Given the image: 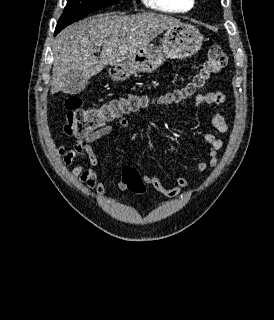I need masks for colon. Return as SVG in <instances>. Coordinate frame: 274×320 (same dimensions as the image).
<instances>
[{
  "instance_id": "5ec220e1",
  "label": "colon",
  "mask_w": 274,
  "mask_h": 320,
  "mask_svg": "<svg viewBox=\"0 0 274 320\" xmlns=\"http://www.w3.org/2000/svg\"><path fill=\"white\" fill-rule=\"evenodd\" d=\"M228 63V58L221 47L212 46L208 49L204 67L196 81L187 88L182 89L173 100L186 97L191 91L202 87L214 76L219 74ZM141 105L138 98L120 99L100 107L82 108V100L71 96L65 100L66 122L64 134H92L100 132V121L108 120L109 125L118 120H125L124 115L129 114ZM122 182L133 192H145V184L135 168L127 167L122 174Z\"/></svg>"
}]
</instances>
